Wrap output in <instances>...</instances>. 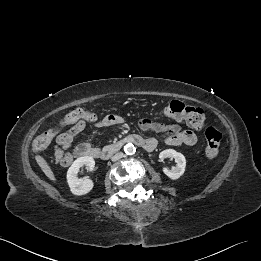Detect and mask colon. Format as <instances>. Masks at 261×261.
<instances>
[{
  "instance_id": "obj_1",
  "label": "colon",
  "mask_w": 261,
  "mask_h": 261,
  "mask_svg": "<svg viewBox=\"0 0 261 261\" xmlns=\"http://www.w3.org/2000/svg\"><path fill=\"white\" fill-rule=\"evenodd\" d=\"M162 114L168 118L184 121L195 129H202L206 126L205 115L201 108L187 105L174 100L168 103L162 110ZM97 115L89 110L75 109L69 112L63 122L71 127L63 132L46 131L37 136L33 142V151H40L51 143L69 144L72 139L82 130L84 121H95ZM221 133L214 127H207L205 130L206 157L210 160L217 157L221 143Z\"/></svg>"
}]
</instances>
